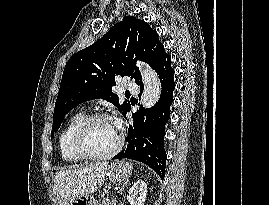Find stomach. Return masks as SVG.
Segmentation results:
<instances>
[{"instance_id": "0dacf381", "label": "stomach", "mask_w": 269, "mask_h": 205, "mask_svg": "<svg viewBox=\"0 0 269 205\" xmlns=\"http://www.w3.org/2000/svg\"><path fill=\"white\" fill-rule=\"evenodd\" d=\"M133 166L128 161L115 162L108 166L106 176L111 182H123L132 173ZM70 205H93L89 196H82L70 203Z\"/></svg>"}]
</instances>
